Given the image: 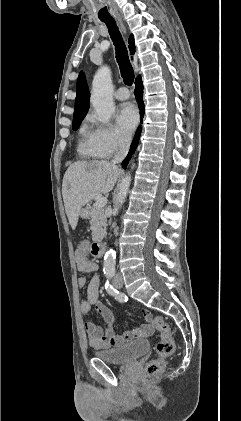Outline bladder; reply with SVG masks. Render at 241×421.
Masks as SVG:
<instances>
[{
    "label": "bladder",
    "mask_w": 241,
    "mask_h": 421,
    "mask_svg": "<svg viewBox=\"0 0 241 421\" xmlns=\"http://www.w3.org/2000/svg\"><path fill=\"white\" fill-rule=\"evenodd\" d=\"M149 348V341L141 339L119 348L97 351L95 356L109 364L124 365L144 355Z\"/></svg>",
    "instance_id": "1"
}]
</instances>
